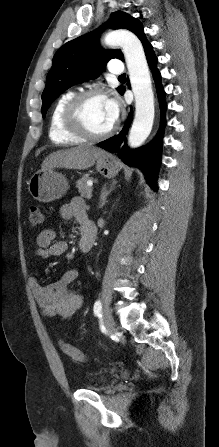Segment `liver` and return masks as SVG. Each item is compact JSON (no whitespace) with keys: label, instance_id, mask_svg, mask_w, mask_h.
<instances>
[{"label":"liver","instance_id":"6515ba94","mask_svg":"<svg viewBox=\"0 0 219 447\" xmlns=\"http://www.w3.org/2000/svg\"><path fill=\"white\" fill-rule=\"evenodd\" d=\"M104 153L105 151L100 148L80 145L51 153L45 158L41 167L42 169L63 167L84 170L93 166L97 158Z\"/></svg>","mask_w":219,"mask_h":447}]
</instances>
